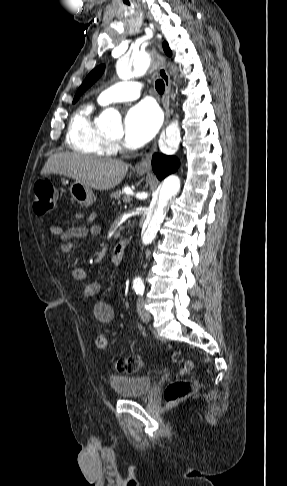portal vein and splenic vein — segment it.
Instances as JSON below:
<instances>
[{
    "mask_svg": "<svg viewBox=\"0 0 287 486\" xmlns=\"http://www.w3.org/2000/svg\"><path fill=\"white\" fill-rule=\"evenodd\" d=\"M130 201H131V198H130V197H125V198L123 199V202H125V203H128V202H130Z\"/></svg>",
    "mask_w": 287,
    "mask_h": 486,
    "instance_id": "18ae733b",
    "label": "portal vein and splenic vein"
}]
</instances>
